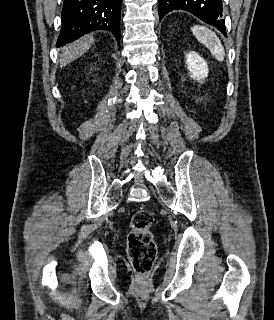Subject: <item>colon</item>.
I'll return each mask as SVG.
<instances>
[{"label":"colon","mask_w":274,"mask_h":320,"mask_svg":"<svg viewBox=\"0 0 274 320\" xmlns=\"http://www.w3.org/2000/svg\"><path fill=\"white\" fill-rule=\"evenodd\" d=\"M153 223L154 215L147 209L138 210L130 220L128 256L135 271L141 274L151 271L156 257V244L150 229Z\"/></svg>","instance_id":"1"}]
</instances>
